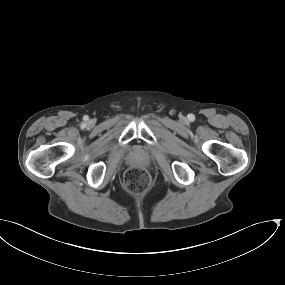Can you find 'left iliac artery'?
<instances>
[{"mask_svg":"<svg viewBox=\"0 0 285 285\" xmlns=\"http://www.w3.org/2000/svg\"><path fill=\"white\" fill-rule=\"evenodd\" d=\"M188 119H189V121H194L195 120V116L193 114H189L188 115Z\"/></svg>","mask_w":285,"mask_h":285,"instance_id":"left-iliac-artery-1","label":"left iliac artery"}]
</instances>
